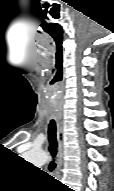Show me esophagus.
Masks as SVG:
<instances>
[{"label":"esophagus","mask_w":114,"mask_h":191,"mask_svg":"<svg viewBox=\"0 0 114 191\" xmlns=\"http://www.w3.org/2000/svg\"><path fill=\"white\" fill-rule=\"evenodd\" d=\"M57 140H58L57 169L59 170L63 164V156H64V146H63L64 131H63V120L61 114L58 115Z\"/></svg>","instance_id":"obj_1"}]
</instances>
